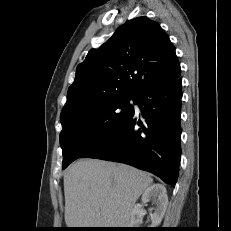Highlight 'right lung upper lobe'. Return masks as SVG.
Masks as SVG:
<instances>
[{
	"label": "right lung upper lobe",
	"instance_id": "cb5924a9",
	"mask_svg": "<svg viewBox=\"0 0 231 231\" xmlns=\"http://www.w3.org/2000/svg\"><path fill=\"white\" fill-rule=\"evenodd\" d=\"M175 48L160 25L138 17L120 26L77 66L61 116L179 78Z\"/></svg>",
	"mask_w": 231,
	"mask_h": 231
}]
</instances>
